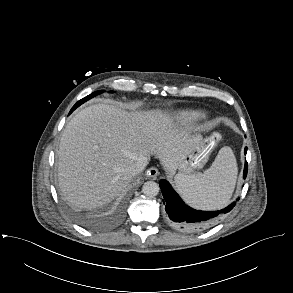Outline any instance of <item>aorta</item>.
Masks as SVG:
<instances>
[{
	"mask_svg": "<svg viewBox=\"0 0 293 293\" xmlns=\"http://www.w3.org/2000/svg\"><path fill=\"white\" fill-rule=\"evenodd\" d=\"M160 187L154 181H147L142 187V192L149 197L157 196L159 193Z\"/></svg>",
	"mask_w": 293,
	"mask_h": 293,
	"instance_id": "762f6f07",
	"label": "aorta"
}]
</instances>
